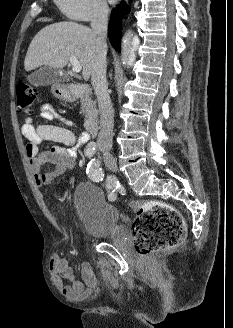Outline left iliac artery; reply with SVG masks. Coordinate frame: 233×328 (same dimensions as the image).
<instances>
[{"label": "left iliac artery", "mask_w": 233, "mask_h": 328, "mask_svg": "<svg viewBox=\"0 0 233 328\" xmlns=\"http://www.w3.org/2000/svg\"><path fill=\"white\" fill-rule=\"evenodd\" d=\"M87 174L95 182L102 181L104 178V173L100 167V162L92 159L87 166Z\"/></svg>", "instance_id": "left-iliac-artery-1"}]
</instances>
